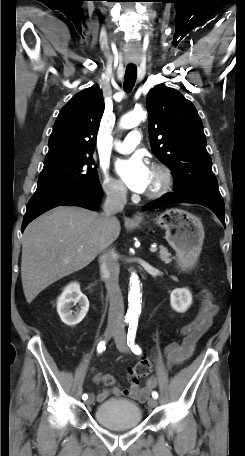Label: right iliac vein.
<instances>
[{"mask_svg":"<svg viewBox=\"0 0 245 456\" xmlns=\"http://www.w3.org/2000/svg\"><path fill=\"white\" fill-rule=\"evenodd\" d=\"M118 332V329L114 326L108 327L104 332V339L109 340L112 336H114ZM95 400L94 395H90L89 398L86 400V405H91Z\"/></svg>","mask_w":245,"mask_h":456,"instance_id":"63e3f726","label":"right iliac vein"}]
</instances>
